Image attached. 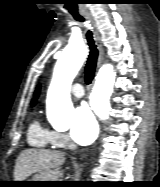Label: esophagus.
<instances>
[{
  "label": "esophagus",
  "mask_w": 160,
  "mask_h": 187,
  "mask_svg": "<svg viewBox=\"0 0 160 187\" xmlns=\"http://www.w3.org/2000/svg\"><path fill=\"white\" fill-rule=\"evenodd\" d=\"M87 19L89 20V22L92 25V29L94 32V38H95V41H96V44H97V47L99 50L98 66H100L103 62V59H104V50H103L101 37H100L99 31H98L97 26H96L95 22L93 21V19L90 16H87Z\"/></svg>",
  "instance_id": "esophagus-1"
}]
</instances>
